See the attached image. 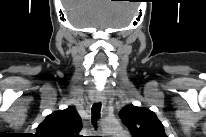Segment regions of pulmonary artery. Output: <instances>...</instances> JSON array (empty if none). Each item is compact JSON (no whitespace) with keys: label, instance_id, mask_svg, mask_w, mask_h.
<instances>
[{"label":"pulmonary artery","instance_id":"pulmonary-artery-1","mask_svg":"<svg viewBox=\"0 0 206 137\" xmlns=\"http://www.w3.org/2000/svg\"><path fill=\"white\" fill-rule=\"evenodd\" d=\"M114 137H127L126 133L123 131H119L115 134Z\"/></svg>","mask_w":206,"mask_h":137}]
</instances>
